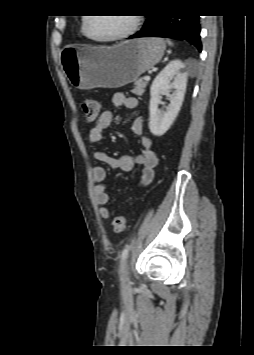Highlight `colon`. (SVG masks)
I'll return each mask as SVG.
<instances>
[{
	"label": "colon",
	"mask_w": 254,
	"mask_h": 355,
	"mask_svg": "<svg viewBox=\"0 0 254 355\" xmlns=\"http://www.w3.org/2000/svg\"><path fill=\"white\" fill-rule=\"evenodd\" d=\"M81 108L87 121H95L100 113V104L92 98H84L81 101ZM116 233L124 232L127 228V219L123 215H116L112 221Z\"/></svg>",
	"instance_id": "colon-1"
}]
</instances>
